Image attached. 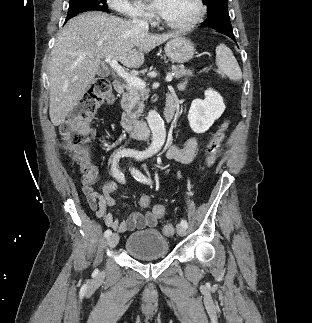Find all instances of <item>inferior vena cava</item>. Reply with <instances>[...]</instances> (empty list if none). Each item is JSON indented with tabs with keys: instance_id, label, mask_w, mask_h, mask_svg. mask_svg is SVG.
Returning <instances> with one entry per match:
<instances>
[{
	"instance_id": "inferior-vena-cava-1",
	"label": "inferior vena cava",
	"mask_w": 312,
	"mask_h": 323,
	"mask_svg": "<svg viewBox=\"0 0 312 323\" xmlns=\"http://www.w3.org/2000/svg\"><path fill=\"white\" fill-rule=\"evenodd\" d=\"M132 22L133 24H136L137 28H142V30H146V32H148V24L145 20H140L138 16H133Z\"/></svg>"
}]
</instances>
